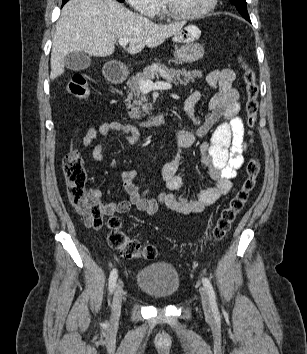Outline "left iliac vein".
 Here are the masks:
<instances>
[{
	"instance_id": "obj_1",
	"label": "left iliac vein",
	"mask_w": 307,
	"mask_h": 354,
	"mask_svg": "<svg viewBox=\"0 0 307 354\" xmlns=\"http://www.w3.org/2000/svg\"><path fill=\"white\" fill-rule=\"evenodd\" d=\"M199 291L201 295L204 312L210 316L212 314V309H211V303H210L208 293L204 288H200Z\"/></svg>"
}]
</instances>
